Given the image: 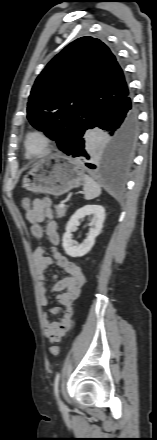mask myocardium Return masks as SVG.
<instances>
[{"label": "myocardium", "mask_w": 157, "mask_h": 440, "mask_svg": "<svg viewBox=\"0 0 157 440\" xmlns=\"http://www.w3.org/2000/svg\"><path fill=\"white\" fill-rule=\"evenodd\" d=\"M34 135L41 137L45 143L44 151L42 153L35 154V155L31 154L28 149V140L31 136H34ZM23 145H24V150H25L26 154L31 155V156H44L52 150L53 139L45 131H43L41 129H34L26 134Z\"/></svg>", "instance_id": "obj_1"}]
</instances>
